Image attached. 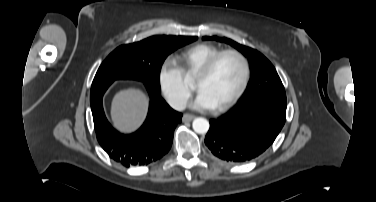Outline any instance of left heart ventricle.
Wrapping results in <instances>:
<instances>
[{"mask_svg": "<svg viewBox=\"0 0 376 202\" xmlns=\"http://www.w3.org/2000/svg\"><path fill=\"white\" fill-rule=\"evenodd\" d=\"M243 75L241 62L232 55L223 56L215 65L212 73L195 81L199 90L204 91L214 106L225 103L238 89Z\"/></svg>", "mask_w": 376, "mask_h": 202, "instance_id": "1", "label": "left heart ventricle"}]
</instances>
